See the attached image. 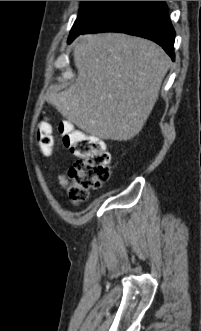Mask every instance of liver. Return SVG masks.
Wrapping results in <instances>:
<instances>
[{
	"instance_id": "6515ba94",
	"label": "liver",
	"mask_w": 201,
	"mask_h": 331,
	"mask_svg": "<svg viewBox=\"0 0 201 331\" xmlns=\"http://www.w3.org/2000/svg\"><path fill=\"white\" fill-rule=\"evenodd\" d=\"M75 83L47 101L84 132L127 141L147 121L171 65L156 43L122 33L81 35L74 42Z\"/></svg>"
}]
</instances>
